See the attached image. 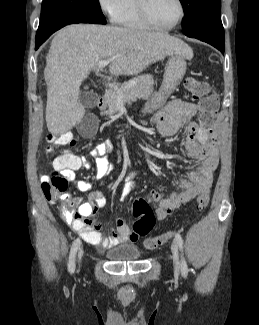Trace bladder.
I'll return each mask as SVG.
<instances>
[{"mask_svg": "<svg viewBox=\"0 0 259 325\" xmlns=\"http://www.w3.org/2000/svg\"><path fill=\"white\" fill-rule=\"evenodd\" d=\"M106 256L113 262L133 261L141 257V250L133 244L117 245L108 249Z\"/></svg>", "mask_w": 259, "mask_h": 325, "instance_id": "31cf9c89", "label": "bladder"}]
</instances>
